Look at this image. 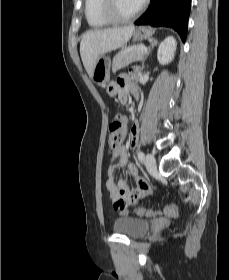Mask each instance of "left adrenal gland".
<instances>
[{"label": "left adrenal gland", "mask_w": 229, "mask_h": 280, "mask_svg": "<svg viewBox=\"0 0 229 280\" xmlns=\"http://www.w3.org/2000/svg\"><path fill=\"white\" fill-rule=\"evenodd\" d=\"M157 43H158L157 40H156V39H153V41L151 42V45H150V47H149V51H148L147 54H146L145 59H146L147 56L151 53V51H152L153 48L157 45ZM145 59L143 60L141 70H143L144 67H145Z\"/></svg>", "instance_id": "left-adrenal-gland-1"}]
</instances>
